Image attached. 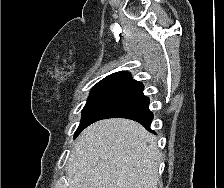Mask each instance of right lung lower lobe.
<instances>
[{
    "label": "right lung lower lobe",
    "instance_id": "obj_1",
    "mask_svg": "<svg viewBox=\"0 0 224 188\" xmlns=\"http://www.w3.org/2000/svg\"><path fill=\"white\" fill-rule=\"evenodd\" d=\"M106 118L132 119L150 130L153 113L149 110V98L143 94V84L131 81L94 114L88 126Z\"/></svg>",
    "mask_w": 224,
    "mask_h": 188
}]
</instances>
